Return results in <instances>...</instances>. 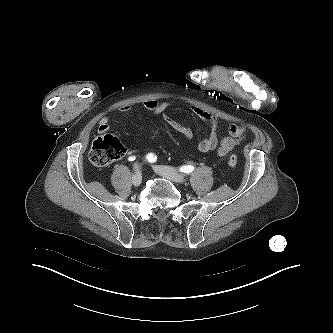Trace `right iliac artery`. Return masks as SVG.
I'll return each mask as SVG.
<instances>
[{
    "label": "right iliac artery",
    "mask_w": 333,
    "mask_h": 333,
    "mask_svg": "<svg viewBox=\"0 0 333 333\" xmlns=\"http://www.w3.org/2000/svg\"><path fill=\"white\" fill-rule=\"evenodd\" d=\"M146 160H147L148 162L154 163V162H156L157 157H156L155 154H153V153H149V154H147V156H146ZM136 168H137V164L134 165V169H136Z\"/></svg>",
    "instance_id": "82829eb1"
}]
</instances>
